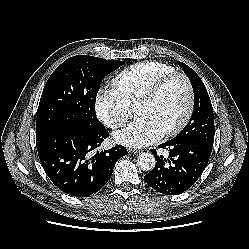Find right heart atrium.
Returning <instances> with one entry per match:
<instances>
[{"label":"right heart atrium","mask_w":249,"mask_h":249,"mask_svg":"<svg viewBox=\"0 0 249 249\" xmlns=\"http://www.w3.org/2000/svg\"><path fill=\"white\" fill-rule=\"evenodd\" d=\"M97 118L111 129L126 124L130 117L129 104L114 90L100 88L94 100Z\"/></svg>","instance_id":"right-heart-atrium-1"}]
</instances>
